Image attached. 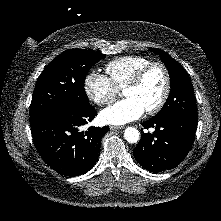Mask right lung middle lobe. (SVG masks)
<instances>
[{"instance_id": "right-lung-middle-lobe-1", "label": "right lung middle lobe", "mask_w": 221, "mask_h": 221, "mask_svg": "<svg viewBox=\"0 0 221 221\" xmlns=\"http://www.w3.org/2000/svg\"><path fill=\"white\" fill-rule=\"evenodd\" d=\"M106 55L69 49L58 55L37 79L30 105V125L60 109L90 106L84 82L89 69Z\"/></svg>"}]
</instances>
